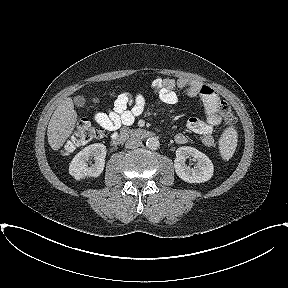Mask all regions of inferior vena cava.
Wrapping results in <instances>:
<instances>
[{"label": "inferior vena cava", "mask_w": 288, "mask_h": 288, "mask_svg": "<svg viewBox=\"0 0 288 288\" xmlns=\"http://www.w3.org/2000/svg\"><path fill=\"white\" fill-rule=\"evenodd\" d=\"M141 145L142 141L139 138H129L125 143V147L127 149H134L140 147Z\"/></svg>", "instance_id": "602c4592"}]
</instances>
